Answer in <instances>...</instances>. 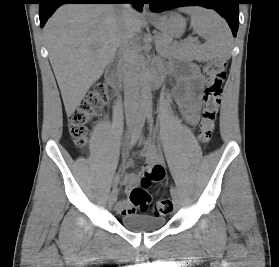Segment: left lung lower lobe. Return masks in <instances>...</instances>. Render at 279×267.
Returning <instances> with one entry per match:
<instances>
[{
	"mask_svg": "<svg viewBox=\"0 0 279 267\" xmlns=\"http://www.w3.org/2000/svg\"><path fill=\"white\" fill-rule=\"evenodd\" d=\"M152 11L160 12L175 7L200 5L216 10L228 22L234 36L239 25V0H149Z\"/></svg>",
	"mask_w": 279,
	"mask_h": 267,
	"instance_id": "obj_1",
	"label": "left lung lower lobe"
}]
</instances>
